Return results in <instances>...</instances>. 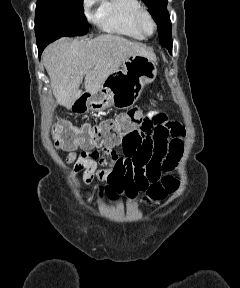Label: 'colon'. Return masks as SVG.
Segmentation results:
<instances>
[{"label": "colon", "mask_w": 240, "mask_h": 288, "mask_svg": "<svg viewBox=\"0 0 240 288\" xmlns=\"http://www.w3.org/2000/svg\"><path fill=\"white\" fill-rule=\"evenodd\" d=\"M150 109L133 108L96 125L84 124L76 127L67 121H61L53 127L52 138L55 145L64 150L115 143L137 133ZM178 186L179 183L174 177L165 176L161 183L150 187L147 200L161 201L176 191Z\"/></svg>", "instance_id": "5ec220e1"}]
</instances>
